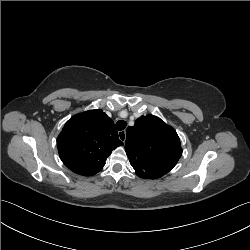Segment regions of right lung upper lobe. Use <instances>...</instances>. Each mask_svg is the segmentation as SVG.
<instances>
[{
  "label": "right lung upper lobe",
  "mask_w": 250,
  "mask_h": 250,
  "mask_svg": "<svg viewBox=\"0 0 250 250\" xmlns=\"http://www.w3.org/2000/svg\"><path fill=\"white\" fill-rule=\"evenodd\" d=\"M119 140L114 123L102 110H89L71 117L57 138L63 163L84 176L98 173Z\"/></svg>",
  "instance_id": "cb5924a9"
}]
</instances>
